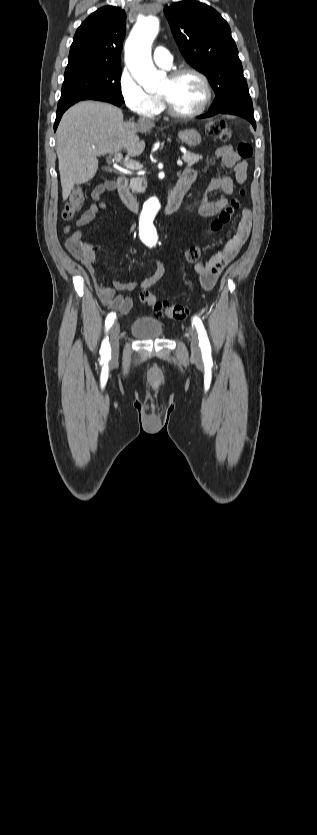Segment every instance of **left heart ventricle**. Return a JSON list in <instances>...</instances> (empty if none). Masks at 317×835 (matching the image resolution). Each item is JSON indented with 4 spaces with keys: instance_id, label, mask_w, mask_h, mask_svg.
Masks as SVG:
<instances>
[{
    "instance_id": "left-heart-ventricle-1",
    "label": "left heart ventricle",
    "mask_w": 317,
    "mask_h": 835,
    "mask_svg": "<svg viewBox=\"0 0 317 835\" xmlns=\"http://www.w3.org/2000/svg\"><path fill=\"white\" fill-rule=\"evenodd\" d=\"M159 93L165 95L173 107L183 113L196 110L204 98L203 85L192 74H185L174 80L167 77Z\"/></svg>"
}]
</instances>
